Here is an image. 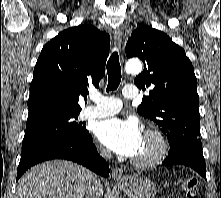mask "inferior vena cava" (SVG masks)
<instances>
[{
    "instance_id": "obj_1",
    "label": "inferior vena cava",
    "mask_w": 221,
    "mask_h": 198,
    "mask_svg": "<svg viewBox=\"0 0 221 198\" xmlns=\"http://www.w3.org/2000/svg\"><path fill=\"white\" fill-rule=\"evenodd\" d=\"M101 155L104 158H111V152L106 149H101ZM101 186V181L99 177L93 173L88 176V191L90 192V197H96L99 187Z\"/></svg>"
}]
</instances>
